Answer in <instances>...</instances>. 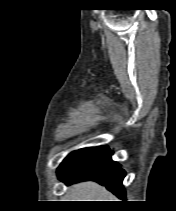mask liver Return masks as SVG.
Wrapping results in <instances>:
<instances>
[{"mask_svg":"<svg viewBox=\"0 0 176 211\" xmlns=\"http://www.w3.org/2000/svg\"><path fill=\"white\" fill-rule=\"evenodd\" d=\"M72 201H115V197L95 182H83L70 188Z\"/></svg>","mask_w":176,"mask_h":211,"instance_id":"obj_1","label":"liver"}]
</instances>
